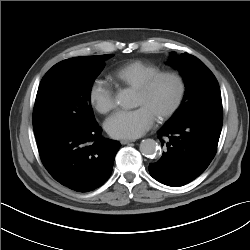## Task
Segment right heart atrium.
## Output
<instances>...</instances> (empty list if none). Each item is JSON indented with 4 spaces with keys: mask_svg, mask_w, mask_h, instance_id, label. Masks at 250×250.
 <instances>
[{
    "mask_svg": "<svg viewBox=\"0 0 250 250\" xmlns=\"http://www.w3.org/2000/svg\"><path fill=\"white\" fill-rule=\"evenodd\" d=\"M88 98L95 110L106 114L115 107L114 91L109 82L104 79L96 78L92 81Z\"/></svg>",
    "mask_w": 250,
    "mask_h": 250,
    "instance_id": "d8ad5b80",
    "label": "right heart atrium"
}]
</instances>
